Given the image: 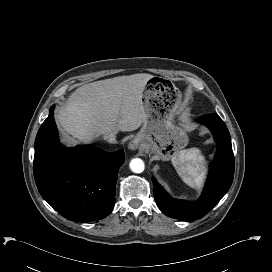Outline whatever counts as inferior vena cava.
Listing matches in <instances>:
<instances>
[{
    "instance_id": "inferior-vena-cava-1",
    "label": "inferior vena cava",
    "mask_w": 272,
    "mask_h": 272,
    "mask_svg": "<svg viewBox=\"0 0 272 272\" xmlns=\"http://www.w3.org/2000/svg\"><path fill=\"white\" fill-rule=\"evenodd\" d=\"M104 139H105L107 142L111 143V144L117 143L116 134H114V133H110V134L106 135V136L104 137Z\"/></svg>"
}]
</instances>
